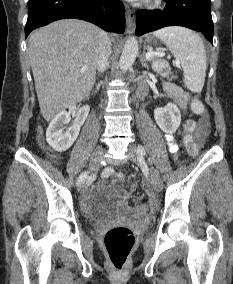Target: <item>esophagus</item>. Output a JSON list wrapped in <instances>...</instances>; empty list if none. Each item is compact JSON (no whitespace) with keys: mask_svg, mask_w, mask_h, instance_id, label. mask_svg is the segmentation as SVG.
Here are the masks:
<instances>
[{"mask_svg":"<svg viewBox=\"0 0 233 284\" xmlns=\"http://www.w3.org/2000/svg\"><path fill=\"white\" fill-rule=\"evenodd\" d=\"M126 24L127 31L129 33L134 32L135 30V12L131 10L129 7L126 8Z\"/></svg>","mask_w":233,"mask_h":284,"instance_id":"esophagus-1","label":"esophagus"}]
</instances>
